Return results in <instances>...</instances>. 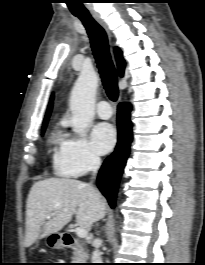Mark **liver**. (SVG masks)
<instances>
[{
    "label": "liver",
    "instance_id": "1",
    "mask_svg": "<svg viewBox=\"0 0 205 265\" xmlns=\"http://www.w3.org/2000/svg\"><path fill=\"white\" fill-rule=\"evenodd\" d=\"M105 210L100 192L79 180L50 178L35 182L27 198L24 245L30 247L37 239L59 232L74 214L77 224L90 230Z\"/></svg>",
    "mask_w": 205,
    "mask_h": 265
}]
</instances>
